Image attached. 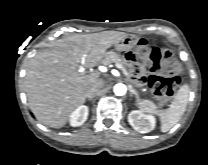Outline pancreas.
Instances as JSON below:
<instances>
[{"label": "pancreas", "instance_id": "cf45deb5", "mask_svg": "<svg viewBox=\"0 0 208 165\" xmlns=\"http://www.w3.org/2000/svg\"><path fill=\"white\" fill-rule=\"evenodd\" d=\"M104 65H109L110 63H119L121 65H126L124 60L116 53L113 51L107 52L105 54L104 60H103Z\"/></svg>", "mask_w": 208, "mask_h": 165}]
</instances>
